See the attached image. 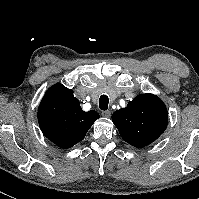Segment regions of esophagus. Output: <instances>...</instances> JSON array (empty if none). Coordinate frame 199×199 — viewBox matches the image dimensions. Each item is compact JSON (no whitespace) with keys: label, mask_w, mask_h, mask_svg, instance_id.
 Wrapping results in <instances>:
<instances>
[{"label":"esophagus","mask_w":199,"mask_h":199,"mask_svg":"<svg viewBox=\"0 0 199 199\" xmlns=\"http://www.w3.org/2000/svg\"><path fill=\"white\" fill-rule=\"evenodd\" d=\"M110 115H111V112H110V110H106V111H102V116L103 117H110Z\"/></svg>","instance_id":"obj_1"}]
</instances>
